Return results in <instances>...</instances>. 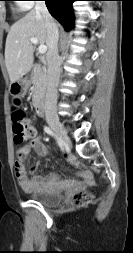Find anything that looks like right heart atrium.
<instances>
[{
  "label": "right heart atrium",
  "instance_id": "obj_1",
  "mask_svg": "<svg viewBox=\"0 0 133 253\" xmlns=\"http://www.w3.org/2000/svg\"><path fill=\"white\" fill-rule=\"evenodd\" d=\"M18 5L20 9L27 10L32 7L33 3L32 0H20Z\"/></svg>",
  "mask_w": 133,
  "mask_h": 253
}]
</instances>
